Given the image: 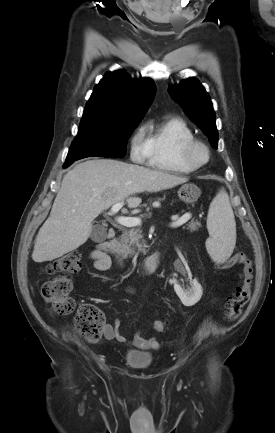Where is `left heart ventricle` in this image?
I'll return each mask as SVG.
<instances>
[{"instance_id":"b2bd125f","label":"left heart ventricle","mask_w":275,"mask_h":433,"mask_svg":"<svg viewBox=\"0 0 275 433\" xmlns=\"http://www.w3.org/2000/svg\"><path fill=\"white\" fill-rule=\"evenodd\" d=\"M197 157H198L199 159H204L205 155H204L203 151L198 150V151H197Z\"/></svg>"}]
</instances>
